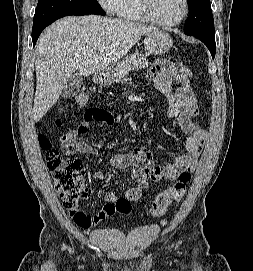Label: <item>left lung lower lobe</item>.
<instances>
[{"mask_svg":"<svg viewBox=\"0 0 253 271\" xmlns=\"http://www.w3.org/2000/svg\"><path fill=\"white\" fill-rule=\"evenodd\" d=\"M191 36H194L198 38L199 40H201L210 50L212 58L215 57V52H216L215 36L210 37V36L201 35V34H194Z\"/></svg>","mask_w":253,"mask_h":271,"instance_id":"0a47b994","label":"left lung lower lobe"}]
</instances>
